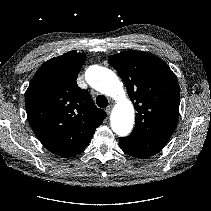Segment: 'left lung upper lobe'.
<instances>
[{"label":"left lung upper lobe","mask_w":211,"mask_h":211,"mask_svg":"<svg viewBox=\"0 0 211 211\" xmlns=\"http://www.w3.org/2000/svg\"><path fill=\"white\" fill-rule=\"evenodd\" d=\"M109 63L125 83L137 111L132 135L170 138L179 117L176 76L159 58L141 51L111 55Z\"/></svg>","instance_id":"left-lung-upper-lobe-1"}]
</instances>
